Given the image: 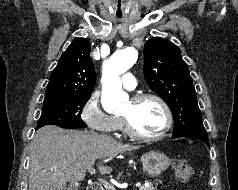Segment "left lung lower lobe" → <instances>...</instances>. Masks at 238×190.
<instances>
[{"label":"left lung lower lobe","mask_w":238,"mask_h":190,"mask_svg":"<svg viewBox=\"0 0 238 190\" xmlns=\"http://www.w3.org/2000/svg\"><path fill=\"white\" fill-rule=\"evenodd\" d=\"M178 137H188V138H191V139L201 140L209 146V140H208L207 134L197 135V136H188L186 134H175V135H173L172 139L178 138Z\"/></svg>","instance_id":"1"}]
</instances>
